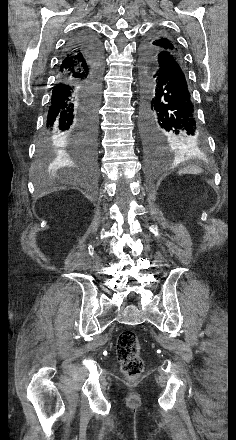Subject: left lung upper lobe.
Returning a JSON list of instances; mask_svg holds the SVG:
<instances>
[{
	"instance_id": "1",
	"label": "left lung upper lobe",
	"mask_w": 236,
	"mask_h": 440,
	"mask_svg": "<svg viewBox=\"0 0 236 440\" xmlns=\"http://www.w3.org/2000/svg\"><path fill=\"white\" fill-rule=\"evenodd\" d=\"M173 55L181 56L177 44L165 32L156 31L151 33L142 44V61L146 60L155 63L163 57Z\"/></svg>"
}]
</instances>
